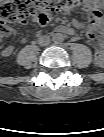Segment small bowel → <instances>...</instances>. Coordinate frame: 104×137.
<instances>
[{"mask_svg":"<svg viewBox=\"0 0 104 137\" xmlns=\"http://www.w3.org/2000/svg\"><path fill=\"white\" fill-rule=\"evenodd\" d=\"M102 23L103 20H102L101 12L90 4H85L84 6V20L74 21L75 26L82 27L86 30V38L88 42L95 46L94 58H95V62L98 65H102L104 62V53L102 50L101 43L97 37V32L101 29ZM58 31L62 34H69V35L73 33L72 29L67 27H59ZM9 34L10 32L3 36H8ZM14 50L15 47L13 45H7L3 49L2 54L4 56H9L14 52Z\"/></svg>","mask_w":104,"mask_h":137,"instance_id":"1","label":"small bowel"}]
</instances>
